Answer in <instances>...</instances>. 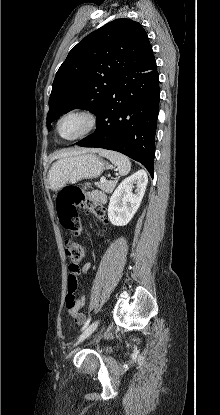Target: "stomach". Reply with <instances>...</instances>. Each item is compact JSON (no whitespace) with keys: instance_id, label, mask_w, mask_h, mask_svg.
I'll use <instances>...</instances> for the list:
<instances>
[{"instance_id":"0dacf381","label":"stomach","mask_w":220,"mask_h":415,"mask_svg":"<svg viewBox=\"0 0 220 415\" xmlns=\"http://www.w3.org/2000/svg\"><path fill=\"white\" fill-rule=\"evenodd\" d=\"M109 168L108 163L93 153L66 156L53 164L48 183L52 190H58L67 183L96 178Z\"/></svg>"}]
</instances>
